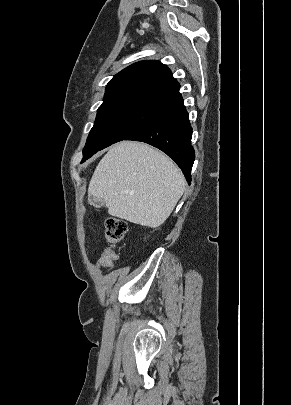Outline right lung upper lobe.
<instances>
[{
    "label": "right lung upper lobe",
    "instance_id": "1",
    "mask_svg": "<svg viewBox=\"0 0 291 405\" xmlns=\"http://www.w3.org/2000/svg\"><path fill=\"white\" fill-rule=\"evenodd\" d=\"M180 85L168 67L156 60L140 61L116 74L107 84L103 104L143 99L172 105Z\"/></svg>",
    "mask_w": 291,
    "mask_h": 405
}]
</instances>
